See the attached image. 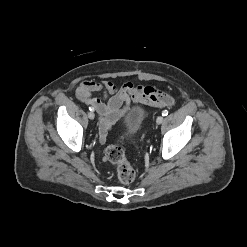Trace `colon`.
I'll use <instances>...</instances> for the list:
<instances>
[{"label": "colon", "mask_w": 247, "mask_h": 247, "mask_svg": "<svg viewBox=\"0 0 247 247\" xmlns=\"http://www.w3.org/2000/svg\"><path fill=\"white\" fill-rule=\"evenodd\" d=\"M104 158L106 161L117 164L118 178L123 184H131L135 180L136 173L119 145H109L105 150Z\"/></svg>", "instance_id": "obj_1"}]
</instances>
